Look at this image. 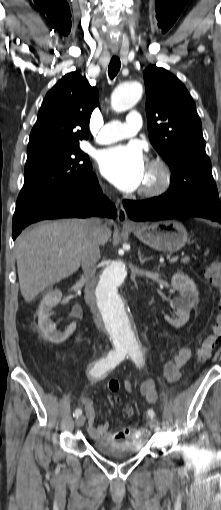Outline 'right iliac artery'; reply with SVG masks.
<instances>
[{"label": "right iliac artery", "mask_w": 221, "mask_h": 510, "mask_svg": "<svg viewBox=\"0 0 221 510\" xmlns=\"http://www.w3.org/2000/svg\"><path fill=\"white\" fill-rule=\"evenodd\" d=\"M125 353L123 351L119 350H111L107 357L101 358L98 361L94 362L92 365V368L90 370V375L92 377H101L105 375L109 370H112L116 367L117 364H119L125 357ZM82 414V410L80 408H77L73 416L79 417Z\"/></svg>", "instance_id": "right-iliac-artery-1"}]
</instances>
